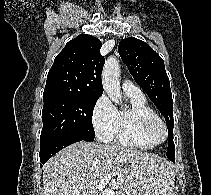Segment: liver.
Segmentation results:
<instances>
[{
    "instance_id": "6515ba94",
    "label": "liver",
    "mask_w": 211,
    "mask_h": 195,
    "mask_svg": "<svg viewBox=\"0 0 211 195\" xmlns=\"http://www.w3.org/2000/svg\"><path fill=\"white\" fill-rule=\"evenodd\" d=\"M105 182L127 195H163L173 173L159 156L117 145L76 142L50 158L43 171L44 195H98Z\"/></svg>"
}]
</instances>
